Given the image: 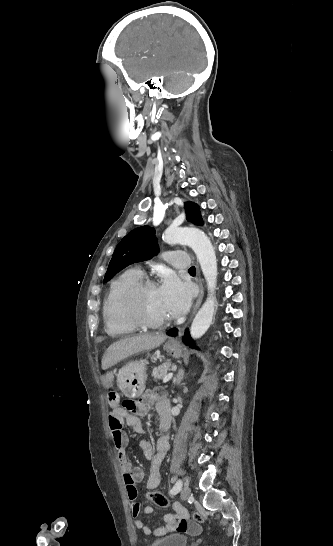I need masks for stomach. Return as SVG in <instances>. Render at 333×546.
I'll return each instance as SVG.
<instances>
[{"instance_id":"1","label":"stomach","mask_w":333,"mask_h":546,"mask_svg":"<svg viewBox=\"0 0 333 546\" xmlns=\"http://www.w3.org/2000/svg\"><path fill=\"white\" fill-rule=\"evenodd\" d=\"M165 350L174 358L182 355L181 346L174 340L164 345ZM146 366L145 361L129 362L117 373V381L123 394L129 398L141 396L145 389Z\"/></svg>"}]
</instances>
